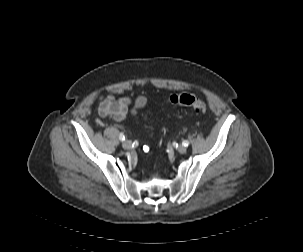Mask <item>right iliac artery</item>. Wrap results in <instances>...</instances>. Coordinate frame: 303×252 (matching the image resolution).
I'll use <instances>...</instances> for the list:
<instances>
[{
	"mask_svg": "<svg viewBox=\"0 0 303 252\" xmlns=\"http://www.w3.org/2000/svg\"><path fill=\"white\" fill-rule=\"evenodd\" d=\"M119 139H120L121 141H124V140H125V136L123 135V133L120 134Z\"/></svg>",
	"mask_w": 303,
	"mask_h": 252,
	"instance_id": "82829eb1",
	"label": "right iliac artery"
}]
</instances>
